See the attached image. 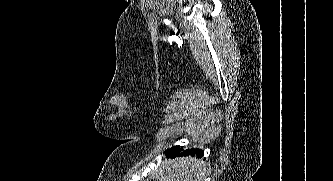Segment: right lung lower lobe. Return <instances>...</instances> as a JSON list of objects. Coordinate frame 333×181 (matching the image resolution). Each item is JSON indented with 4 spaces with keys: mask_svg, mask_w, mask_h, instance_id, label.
<instances>
[{
    "mask_svg": "<svg viewBox=\"0 0 333 181\" xmlns=\"http://www.w3.org/2000/svg\"><path fill=\"white\" fill-rule=\"evenodd\" d=\"M189 155L202 157L203 151L201 149H195V150L191 149V150L182 151V148H180V146H174L166 151V156L172 158H175L177 156H189Z\"/></svg>",
    "mask_w": 333,
    "mask_h": 181,
    "instance_id": "1",
    "label": "right lung lower lobe"
}]
</instances>
